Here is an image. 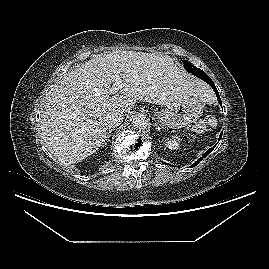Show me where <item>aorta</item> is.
<instances>
[{
    "label": "aorta",
    "mask_w": 269,
    "mask_h": 269,
    "mask_svg": "<svg viewBox=\"0 0 269 269\" xmlns=\"http://www.w3.org/2000/svg\"><path fill=\"white\" fill-rule=\"evenodd\" d=\"M149 124L148 118L144 114L135 115L132 118V126L137 130H144Z\"/></svg>",
    "instance_id": "762f6f07"
}]
</instances>
